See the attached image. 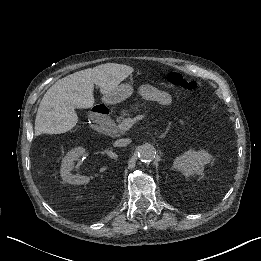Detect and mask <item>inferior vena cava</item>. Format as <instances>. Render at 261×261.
<instances>
[{
  "label": "inferior vena cava",
  "mask_w": 261,
  "mask_h": 261,
  "mask_svg": "<svg viewBox=\"0 0 261 261\" xmlns=\"http://www.w3.org/2000/svg\"><path fill=\"white\" fill-rule=\"evenodd\" d=\"M127 142H130V139H119L116 141V143L120 145H125Z\"/></svg>",
  "instance_id": "602c4592"
}]
</instances>
